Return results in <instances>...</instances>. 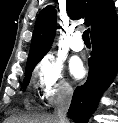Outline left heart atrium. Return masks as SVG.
Masks as SVG:
<instances>
[{
    "label": "left heart atrium",
    "instance_id": "1",
    "mask_svg": "<svg viewBox=\"0 0 118 123\" xmlns=\"http://www.w3.org/2000/svg\"><path fill=\"white\" fill-rule=\"evenodd\" d=\"M69 71L70 74L76 79L81 78L85 72L82 62L78 59H73L70 62Z\"/></svg>",
    "mask_w": 118,
    "mask_h": 123
}]
</instances>
